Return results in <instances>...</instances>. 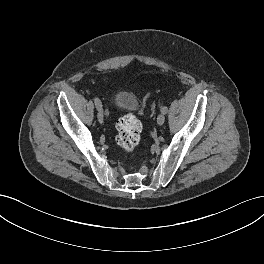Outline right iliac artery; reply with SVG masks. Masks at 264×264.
<instances>
[{
	"label": "right iliac artery",
	"mask_w": 264,
	"mask_h": 264,
	"mask_svg": "<svg viewBox=\"0 0 264 264\" xmlns=\"http://www.w3.org/2000/svg\"><path fill=\"white\" fill-rule=\"evenodd\" d=\"M94 102H95V106L97 107V109H102V104L101 101L98 98H94Z\"/></svg>",
	"instance_id": "right-iliac-artery-1"
}]
</instances>
